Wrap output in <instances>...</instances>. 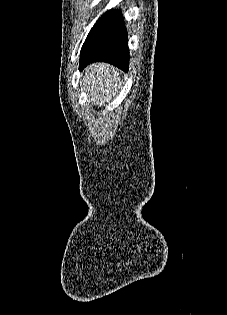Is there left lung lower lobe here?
<instances>
[{
	"mask_svg": "<svg viewBox=\"0 0 227 315\" xmlns=\"http://www.w3.org/2000/svg\"><path fill=\"white\" fill-rule=\"evenodd\" d=\"M98 61L128 72L127 31L120 11L106 12L93 26L81 49L79 69Z\"/></svg>",
	"mask_w": 227,
	"mask_h": 315,
	"instance_id": "left-lung-lower-lobe-1",
	"label": "left lung lower lobe"
}]
</instances>
